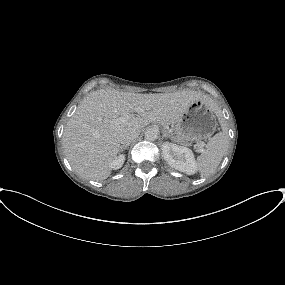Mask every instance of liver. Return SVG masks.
<instances>
[{
	"label": "liver",
	"instance_id": "liver-1",
	"mask_svg": "<svg viewBox=\"0 0 285 285\" xmlns=\"http://www.w3.org/2000/svg\"><path fill=\"white\" fill-rule=\"evenodd\" d=\"M196 101H203L217 111L212 101L196 91L159 94L111 89L94 91L83 100L65 126L62 141L65 155L80 176L102 181L111 174V164L120 151L121 134H140L150 123L168 127ZM140 110L143 112L139 113ZM133 112L139 115L135 117Z\"/></svg>",
	"mask_w": 285,
	"mask_h": 285
}]
</instances>
